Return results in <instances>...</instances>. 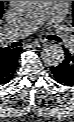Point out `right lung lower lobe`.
<instances>
[{
  "instance_id": "1",
  "label": "right lung lower lobe",
  "mask_w": 74,
  "mask_h": 122,
  "mask_svg": "<svg viewBox=\"0 0 74 122\" xmlns=\"http://www.w3.org/2000/svg\"><path fill=\"white\" fill-rule=\"evenodd\" d=\"M0 51V85L10 81L18 64L21 49H2Z\"/></svg>"
}]
</instances>
